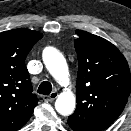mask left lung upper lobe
Here are the masks:
<instances>
[{
  "mask_svg": "<svg viewBox=\"0 0 131 131\" xmlns=\"http://www.w3.org/2000/svg\"><path fill=\"white\" fill-rule=\"evenodd\" d=\"M76 34L77 107L68 120L86 131H101L117 119L128 100V63L109 41L82 30H76Z\"/></svg>",
  "mask_w": 131,
  "mask_h": 131,
  "instance_id": "left-lung-upper-lobe-1",
  "label": "left lung upper lobe"
}]
</instances>
